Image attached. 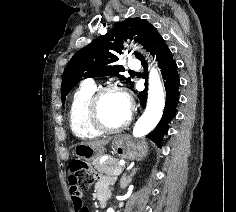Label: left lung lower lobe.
Masks as SVG:
<instances>
[{
  "label": "left lung lower lobe",
  "instance_id": "1",
  "mask_svg": "<svg viewBox=\"0 0 236 212\" xmlns=\"http://www.w3.org/2000/svg\"><path fill=\"white\" fill-rule=\"evenodd\" d=\"M146 49L147 51H150L153 56H156V61H158V66L161 69L166 90V103L163 116L156 128L147 135L149 139L160 146L161 139L168 130V123L176 114V106L179 102L178 89L180 80L177 71V64L173 60L172 53L155 27L150 32ZM140 60L147 73V63L143 57ZM139 97L142 108H145L147 88L139 93Z\"/></svg>",
  "mask_w": 236,
  "mask_h": 212
}]
</instances>
